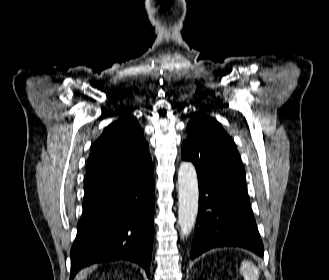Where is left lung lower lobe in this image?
<instances>
[{
    "instance_id": "left-lung-lower-lobe-1",
    "label": "left lung lower lobe",
    "mask_w": 329,
    "mask_h": 280,
    "mask_svg": "<svg viewBox=\"0 0 329 280\" xmlns=\"http://www.w3.org/2000/svg\"><path fill=\"white\" fill-rule=\"evenodd\" d=\"M229 185L208 188L199 185V210L191 257L220 247L246 248L264 255L245 181L227 172Z\"/></svg>"
}]
</instances>
